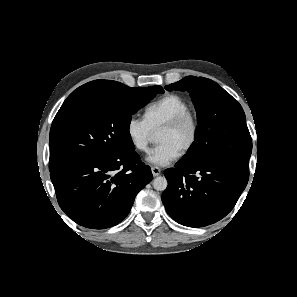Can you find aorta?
I'll list each match as a JSON object with an SVG mask.
<instances>
[{
	"label": "aorta",
	"instance_id": "762f6f07",
	"mask_svg": "<svg viewBox=\"0 0 297 297\" xmlns=\"http://www.w3.org/2000/svg\"><path fill=\"white\" fill-rule=\"evenodd\" d=\"M152 184L157 191H164L167 188L168 182L165 177L159 176L153 180Z\"/></svg>",
	"mask_w": 297,
	"mask_h": 297
}]
</instances>
